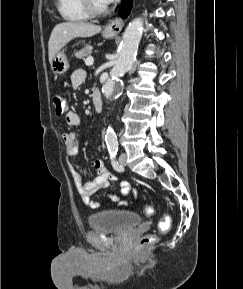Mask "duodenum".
Masks as SVG:
<instances>
[{
    "instance_id": "410a0bca",
    "label": "duodenum",
    "mask_w": 243,
    "mask_h": 289,
    "mask_svg": "<svg viewBox=\"0 0 243 289\" xmlns=\"http://www.w3.org/2000/svg\"><path fill=\"white\" fill-rule=\"evenodd\" d=\"M93 106L96 112H100L103 109V100L100 93L96 90L92 96Z\"/></svg>"
}]
</instances>
